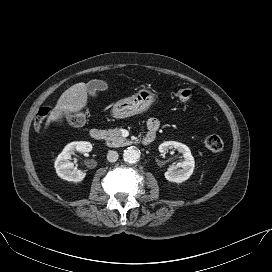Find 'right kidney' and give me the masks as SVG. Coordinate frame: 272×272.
I'll use <instances>...</instances> for the list:
<instances>
[{"mask_svg": "<svg viewBox=\"0 0 272 272\" xmlns=\"http://www.w3.org/2000/svg\"><path fill=\"white\" fill-rule=\"evenodd\" d=\"M91 150V143L85 141L71 142L66 145L63 151L58 155L54 164L57 175L66 181H82L85 178V173L74 168V164L69 160L71 156L74 155L75 151L85 153L90 152Z\"/></svg>", "mask_w": 272, "mask_h": 272, "instance_id": "obj_1", "label": "right kidney"}]
</instances>
